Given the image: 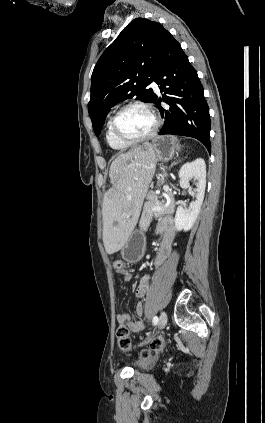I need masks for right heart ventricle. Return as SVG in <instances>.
<instances>
[{
  "instance_id": "e07e8e85",
  "label": "right heart ventricle",
  "mask_w": 265,
  "mask_h": 423,
  "mask_svg": "<svg viewBox=\"0 0 265 423\" xmlns=\"http://www.w3.org/2000/svg\"><path fill=\"white\" fill-rule=\"evenodd\" d=\"M111 119L112 117H110L107 121V125H106V141L107 144L109 145V147L115 151H125L126 149H128L130 147L129 144L123 143L121 141H119L114 135L113 132L111 130Z\"/></svg>"
}]
</instances>
